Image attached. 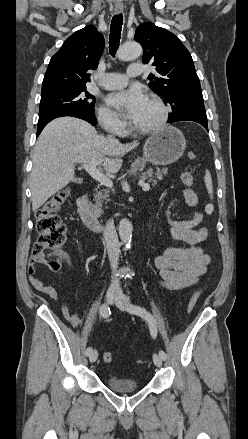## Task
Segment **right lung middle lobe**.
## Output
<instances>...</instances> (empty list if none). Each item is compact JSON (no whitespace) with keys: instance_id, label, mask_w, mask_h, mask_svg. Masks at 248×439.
<instances>
[{"instance_id":"right-lung-middle-lobe-1","label":"right lung middle lobe","mask_w":248,"mask_h":439,"mask_svg":"<svg viewBox=\"0 0 248 439\" xmlns=\"http://www.w3.org/2000/svg\"><path fill=\"white\" fill-rule=\"evenodd\" d=\"M95 98L86 87L61 90L41 95L39 118L61 110L94 113Z\"/></svg>"}]
</instances>
